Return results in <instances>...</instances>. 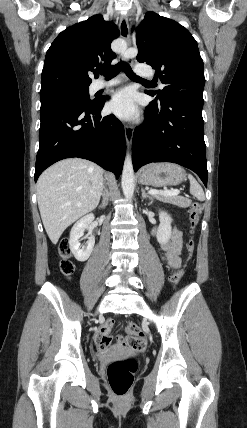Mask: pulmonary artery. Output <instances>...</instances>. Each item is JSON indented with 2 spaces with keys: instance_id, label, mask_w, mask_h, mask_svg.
Here are the masks:
<instances>
[{
  "instance_id": "e3ab8cb5",
  "label": "pulmonary artery",
  "mask_w": 247,
  "mask_h": 428,
  "mask_svg": "<svg viewBox=\"0 0 247 428\" xmlns=\"http://www.w3.org/2000/svg\"><path fill=\"white\" fill-rule=\"evenodd\" d=\"M135 72L137 75L139 76H143V77H152L153 76V71L149 66L143 65V64H138L135 67ZM120 82L119 79H113L110 81H98L95 85L94 88L96 90L105 88V87H111L114 86L116 84H118Z\"/></svg>"
}]
</instances>
